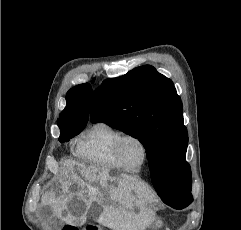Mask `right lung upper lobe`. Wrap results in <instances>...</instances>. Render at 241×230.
Returning a JSON list of instances; mask_svg holds the SVG:
<instances>
[{
    "instance_id": "cb5924a9",
    "label": "right lung upper lobe",
    "mask_w": 241,
    "mask_h": 230,
    "mask_svg": "<svg viewBox=\"0 0 241 230\" xmlns=\"http://www.w3.org/2000/svg\"><path fill=\"white\" fill-rule=\"evenodd\" d=\"M92 88L89 83L71 88L66 95V107L59 115L57 124L62 127H85L88 121Z\"/></svg>"
}]
</instances>
